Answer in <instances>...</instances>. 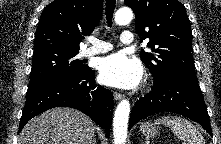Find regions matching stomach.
<instances>
[{"instance_id":"1","label":"stomach","mask_w":221,"mask_h":144,"mask_svg":"<svg viewBox=\"0 0 221 144\" xmlns=\"http://www.w3.org/2000/svg\"><path fill=\"white\" fill-rule=\"evenodd\" d=\"M140 130L144 135L149 137H154L158 133V129L152 123H143Z\"/></svg>"}]
</instances>
